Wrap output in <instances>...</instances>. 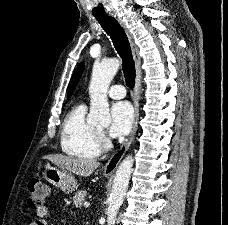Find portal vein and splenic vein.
<instances>
[{
    "mask_svg": "<svg viewBox=\"0 0 228 225\" xmlns=\"http://www.w3.org/2000/svg\"><path fill=\"white\" fill-rule=\"evenodd\" d=\"M85 207H89V203H84Z\"/></svg>",
    "mask_w": 228,
    "mask_h": 225,
    "instance_id": "obj_1",
    "label": "portal vein and splenic vein"
}]
</instances>
